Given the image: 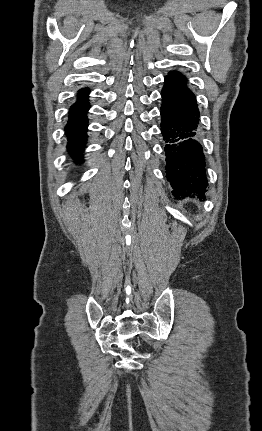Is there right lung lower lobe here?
Listing matches in <instances>:
<instances>
[{"label":"right lung lower lobe","instance_id":"obj_1","mask_svg":"<svg viewBox=\"0 0 262 431\" xmlns=\"http://www.w3.org/2000/svg\"><path fill=\"white\" fill-rule=\"evenodd\" d=\"M88 89H82L78 94V101L72 105L69 113V121L66 125L65 131L68 137L67 149L75 160L81 161V153L86 143V130H87V111L89 103L87 95Z\"/></svg>","mask_w":262,"mask_h":431}]
</instances>
